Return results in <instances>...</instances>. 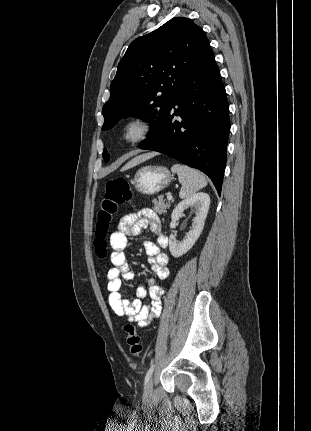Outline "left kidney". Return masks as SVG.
Here are the masks:
<instances>
[{"label": "left kidney", "instance_id": "left-kidney-1", "mask_svg": "<svg viewBox=\"0 0 311 431\" xmlns=\"http://www.w3.org/2000/svg\"><path fill=\"white\" fill-rule=\"evenodd\" d=\"M209 206L210 198L208 194H203V192H200V194L189 196L187 200H182V202H179L178 206L174 208L171 214V229L176 227L177 219H179V216H181V214H183L184 210H187V208H192V210L196 212V216L193 219L192 229H189L186 237H184L182 241H177L175 235L171 233L169 237V249L173 257H180V255H183V253L189 251L192 245H194L196 239H198L204 227V221L208 214Z\"/></svg>", "mask_w": 311, "mask_h": 431}]
</instances>
